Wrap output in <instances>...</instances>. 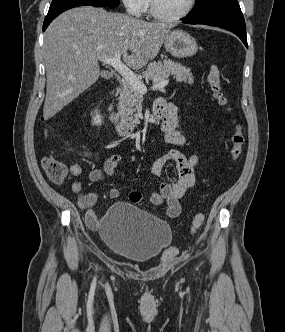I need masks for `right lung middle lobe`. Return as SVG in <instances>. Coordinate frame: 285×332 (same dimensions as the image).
I'll return each instance as SVG.
<instances>
[{
  "label": "right lung middle lobe",
  "instance_id": "right-lung-middle-lobe-1",
  "mask_svg": "<svg viewBox=\"0 0 285 332\" xmlns=\"http://www.w3.org/2000/svg\"><path fill=\"white\" fill-rule=\"evenodd\" d=\"M69 5H92L95 7L108 6L116 7L119 5V0H53L50 8H56Z\"/></svg>",
  "mask_w": 285,
  "mask_h": 332
}]
</instances>
